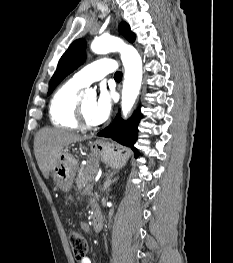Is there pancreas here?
<instances>
[{"label":"pancreas","mask_w":233,"mask_h":263,"mask_svg":"<svg viewBox=\"0 0 233 263\" xmlns=\"http://www.w3.org/2000/svg\"><path fill=\"white\" fill-rule=\"evenodd\" d=\"M92 179L93 175L89 174L87 170L79 172L76 178V184L79 189L84 188L83 194L89 192L93 188V184L91 183Z\"/></svg>","instance_id":"obj_1"}]
</instances>
